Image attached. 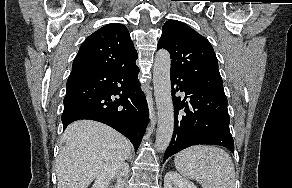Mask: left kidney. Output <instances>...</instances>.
Returning a JSON list of instances; mask_svg holds the SVG:
<instances>
[{"label":"left kidney","instance_id":"1","mask_svg":"<svg viewBox=\"0 0 292 188\" xmlns=\"http://www.w3.org/2000/svg\"><path fill=\"white\" fill-rule=\"evenodd\" d=\"M164 188H197L193 182L185 179L174 171H169L164 177Z\"/></svg>","mask_w":292,"mask_h":188}]
</instances>
